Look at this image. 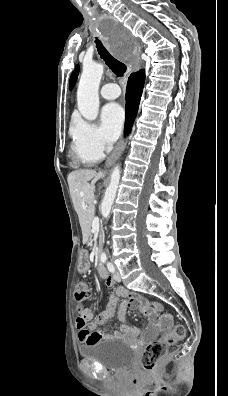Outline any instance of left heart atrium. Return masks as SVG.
<instances>
[{"label":"left heart atrium","mask_w":228,"mask_h":396,"mask_svg":"<svg viewBox=\"0 0 228 396\" xmlns=\"http://www.w3.org/2000/svg\"><path fill=\"white\" fill-rule=\"evenodd\" d=\"M124 110L118 103L107 104L101 112L102 128L105 136L110 141H115L123 127L124 123Z\"/></svg>","instance_id":"1"}]
</instances>
